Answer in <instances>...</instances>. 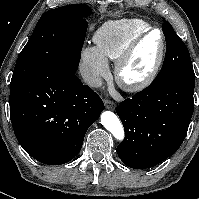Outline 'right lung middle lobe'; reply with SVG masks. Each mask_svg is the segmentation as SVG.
<instances>
[{"mask_svg":"<svg viewBox=\"0 0 199 199\" xmlns=\"http://www.w3.org/2000/svg\"><path fill=\"white\" fill-rule=\"evenodd\" d=\"M91 13L86 4H72L45 12L17 59L10 87L51 65L76 72L87 31L84 18Z\"/></svg>","mask_w":199,"mask_h":199,"instance_id":"right-lung-middle-lobe-1","label":"right lung middle lobe"}]
</instances>
